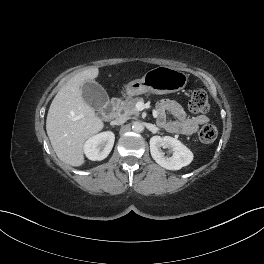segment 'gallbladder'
<instances>
[{
    "label": "gallbladder",
    "mask_w": 264,
    "mask_h": 264,
    "mask_svg": "<svg viewBox=\"0 0 264 264\" xmlns=\"http://www.w3.org/2000/svg\"><path fill=\"white\" fill-rule=\"evenodd\" d=\"M81 89L84 101L96 111H100L109 102L107 92L95 81H86Z\"/></svg>",
    "instance_id": "bac80fb5"
}]
</instances>
